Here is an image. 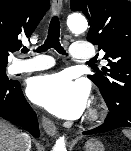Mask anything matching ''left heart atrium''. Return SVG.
<instances>
[{"instance_id":"39dd6f15","label":"left heart atrium","mask_w":131,"mask_h":151,"mask_svg":"<svg viewBox=\"0 0 131 151\" xmlns=\"http://www.w3.org/2000/svg\"><path fill=\"white\" fill-rule=\"evenodd\" d=\"M28 97L51 113L67 119L79 117L87 104L88 89L65 73L33 78L27 87Z\"/></svg>"}]
</instances>
